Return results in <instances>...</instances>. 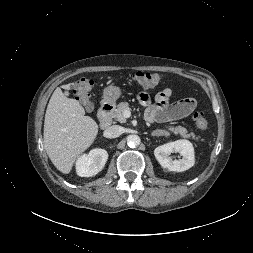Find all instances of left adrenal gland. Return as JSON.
<instances>
[{"instance_id": "1", "label": "left adrenal gland", "mask_w": 253, "mask_h": 253, "mask_svg": "<svg viewBox=\"0 0 253 253\" xmlns=\"http://www.w3.org/2000/svg\"><path fill=\"white\" fill-rule=\"evenodd\" d=\"M151 136H168L163 130H155L151 133Z\"/></svg>"}]
</instances>
